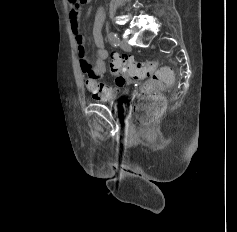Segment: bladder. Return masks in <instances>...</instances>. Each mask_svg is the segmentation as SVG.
Here are the masks:
<instances>
[{"mask_svg": "<svg viewBox=\"0 0 237 232\" xmlns=\"http://www.w3.org/2000/svg\"><path fill=\"white\" fill-rule=\"evenodd\" d=\"M110 103H111V104L113 105V107H115L116 109H119V108L122 107V106H121V103H120L119 101H117V100H112Z\"/></svg>", "mask_w": 237, "mask_h": 232, "instance_id": "bladder-1", "label": "bladder"}]
</instances>
